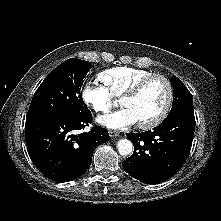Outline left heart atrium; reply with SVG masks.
I'll list each match as a JSON object with an SVG mask.
<instances>
[{
  "instance_id": "left-heart-atrium-1",
  "label": "left heart atrium",
  "mask_w": 221,
  "mask_h": 221,
  "mask_svg": "<svg viewBox=\"0 0 221 221\" xmlns=\"http://www.w3.org/2000/svg\"><path fill=\"white\" fill-rule=\"evenodd\" d=\"M98 122L111 129H123L136 124L137 120L129 109L123 108L98 118Z\"/></svg>"
}]
</instances>
